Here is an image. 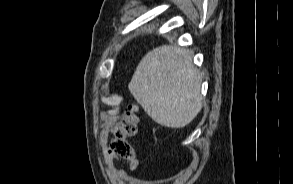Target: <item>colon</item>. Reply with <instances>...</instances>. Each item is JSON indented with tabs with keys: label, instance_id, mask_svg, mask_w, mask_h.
Returning a JSON list of instances; mask_svg holds the SVG:
<instances>
[{
	"label": "colon",
	"instance_id": "colon-1",
	"mask_svg": "<svg viewBox=\"0 0 293 184\" xmlns=\"http://www.w3.org/2000/svg\"><path fill=\"white\" fill-rule=\"evenodd\" d=\"M137 109L130 105L112 130V139L108 142L106 151L109 155L117 157L126 163L136 161L135 153L127 141L137 131Z\"/></svg>",
	"mask_w": 293,
	"mask_h": 184
}]
</instances>
